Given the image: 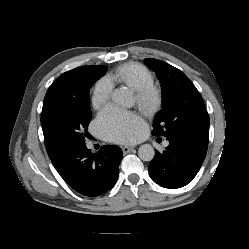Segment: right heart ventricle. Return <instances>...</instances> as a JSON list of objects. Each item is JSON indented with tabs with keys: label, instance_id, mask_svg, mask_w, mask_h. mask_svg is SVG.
<instances>
[{
	"label": "right heart ventricle",
	"instance_id": "1",
	"mask_svg": "<svg viewBox=\"0 0 249 249\" xmlns=\"http://www.w3.org/2000/svg\"><path fill=\"white\" fill-rule=\"evenodd\" d=\"M109 78L113 83L127 85L134 91L154 84L152 73L145 66L134 62L117 67Z\"/></svg>",
	"mask_w": 249,
	"mask_h": 249
}]
</instances>
